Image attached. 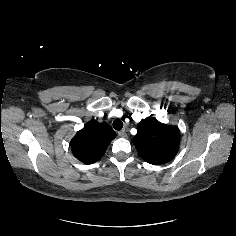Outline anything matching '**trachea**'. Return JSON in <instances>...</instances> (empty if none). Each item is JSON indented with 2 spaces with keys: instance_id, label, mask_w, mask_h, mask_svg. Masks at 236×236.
<instances>
[{
  "instance_id": "trachea-1",
  "label": "trachea",
  "mask_w": 236,
  "mask_h": 236,
  "mask_svg": "<svg viewBox=\"0 0 236 236\" xmlns=\"http://www.w3.org/2000/svg\"><path fill=\"white\" fill-rule=\"evenodd\" d=\"M113 127L115 130H121L123 128V122L120 119H115L113 121Z\"/></svg>"
}]
</instances>
